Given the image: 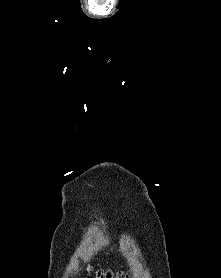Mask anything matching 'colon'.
<instances>
[{"label":"colon","mask_w":221,"mask_h":278,"mask_svg":"<svg viewBox=\"0 0 221 278\" xmlns=\"http://www.w3.org/2000/svg\"><path fill=\"white\" fill-rule=\"evenodd\" d=\"M98 278H125V274L120 272L114 275L111 271H100L98 273Z\"/></svg>","instance_id":"1"}]
</instances>
